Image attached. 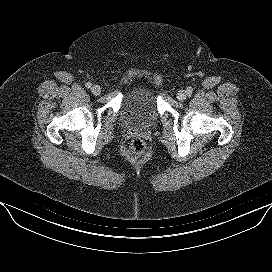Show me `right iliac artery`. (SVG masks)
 Instances as JSON below:
<instances>
[{
  "label": "right iliac artery",
  "instance_id": "1",
  "mask_svg": "<svg viewBox=\"0 0 272 272\" xmlns=\"http://www.w3.org/2000/svg\"><path fill=\"white\" fill-rule=\"evenodd\" d=\"M85 86H86V88H90V87L92 86V84H91L90 82H87V83L85 84Z\"/></svg>",
  "mask_w": 272,
  "mask_h": 272
}]
</instances>
